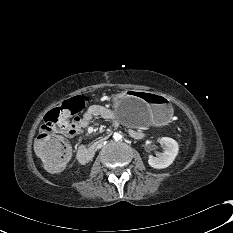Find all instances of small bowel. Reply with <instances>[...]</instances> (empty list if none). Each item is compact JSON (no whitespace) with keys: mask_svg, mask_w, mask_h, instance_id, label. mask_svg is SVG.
<instances>
[{"mask_svg":"<svg viewBox=\"0 0 233 233\" xmlns=\"http://www.w3.org/2000/svg\"><path fill=\"white\" fill-rule=\"evenodd\" d=\"M95 118H102L109 121H114V113L111 109L94 104L86 109L80 116L72 120L61 121L54 126L53 131L61 133L67 137H74L80 134ZM134 134L138 137H143V132L135 131Z\"/></svg>","mask_w":233,"mask_h":233,"instance_id":"c3829d8e","label":"small bowel"}]
</instances>
